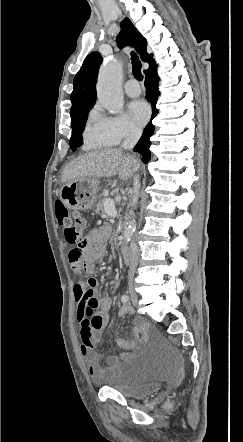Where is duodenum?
I'll list each match as a JSON object with an SVG mask.
<instances>
[{
	"instance_id": "obj_1",
	"label": "duodenum",
	"mask_w": 243,
	"mask_h": 442,
	"mask_svg": "<svg viewBox=\"0 0 243 442\" xmlns=\"http://www.w3.org/2000/svg\"><path fill=\"white\" fill-rule=\"evenodd\" d=\"M122 258L125 262H131V250L127 245H124L121 250Z\"/></svg>"
}]
</instances>
